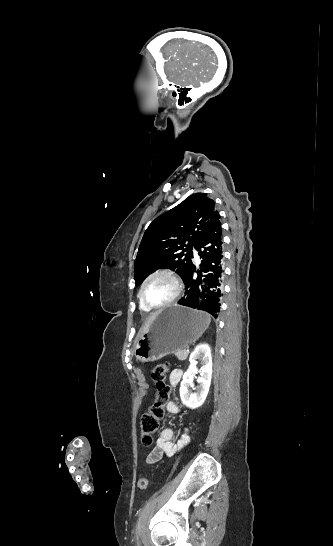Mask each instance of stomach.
Masks as SVG:
<instances>
[{"label": "stomach", "mask_w": 333, "mask_h": 546, "mask_svg": "<svg viewBox=\"0 0 333 546\" xmlns=\"http://www.w3.org/2000/svg\"><path fill=\"white\" fill-rule=\"evenodd\" d=\"M209 323V316L202 311L177 305L163 309L135 343L134 355L140 362H152L188 348L202 336Z\"/></svg>", "instance_id": "1"}]
</instances>
